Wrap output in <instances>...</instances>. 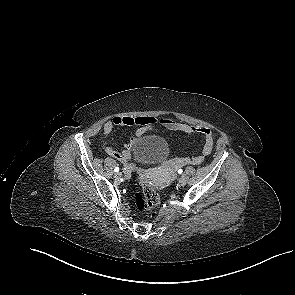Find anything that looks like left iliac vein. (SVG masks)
Instances as JSON below:
<instances>
[{"label":"left iliac vein","instance_id":"4c4485c4","mask_svg":"<svg viewBox=\"0 0 295 295\" xmlns=\"http://www.w3.org/2000/svg\"><path fill=\"white\" fill-rule=\"evenodd\" d=\"M185 184H186V178L182 176V177L179 179V185H180V186H184Z\"/></svg>","mask_w":295,"mask_h":295}]
</instances>
